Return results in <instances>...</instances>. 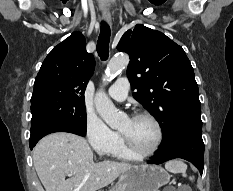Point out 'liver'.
I'll list each match as a JSON object with an SVG mask.
<instances>
[{"instance_id":"liver-1","label":"liver","mask_w":233,"mask_h":191,"mask_svg":"<svg viewBox=\"0 0 233 191\" xmlns=\"http://www.w3.org/2000/svg\"><path fill=\"white\" fill-rule=\"evenodd\" d=\"M33 162L46 191H97L132 166L114 161L95 163L88 142L66 132L42 138L33 150ZM67 175L71 177L65 180Z\"/></svg>"}]
</instances>
